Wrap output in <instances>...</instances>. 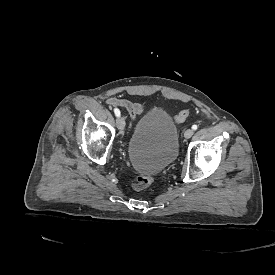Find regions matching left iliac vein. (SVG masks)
Here are the masks:
<instances>
[{
    "mask_svg": "<svg viewBox=\"0 0 275 275\" xmlns=\"http://www.w3.org/2000/svg\"><path fill=\"white\" fill-rule=\"evenodd\" d=\"M194 131L192 129H188L186 130V132L184 133V137L186 139H189L192 135H193Z\"/></svg>",
    "mask_w": 275,
    "mask_h": 275,
    "instance_id": "left-iliac-vein-1",
    "label": "left iliac vein"
}]
</instances>
